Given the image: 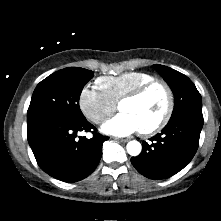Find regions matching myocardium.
Returning <instances> with one entry per match:
<instances>
[{
  "mask_svg": "<svg viewBox=\"0 0 221 221\" xmlns=\"http://www.w3.org/2000/svg\"><path fill=\"white\" fill-rule=\"evenodd\" d=\"M154 87H161L165 92L166 95L165 111L162 117L156 123H154L149 127L140 129V132L143 135H152L159 132L170 121L174 110V94L169 84L160 79H153L124 95L118 103V108L120 109V106L123 102L139 99Z\"/></svg>",
  "mask_w": 221,
  "mask_h": 221,
  "instance_id": "1",
  "label": "myocardium"
}]
</instances>
